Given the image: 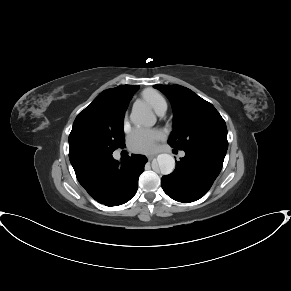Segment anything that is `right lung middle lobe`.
Returning a JSON list of instances; mask_svg holds the SVG:
<instances>
[{
    "label": "right lung middle lobe",
    "instance_id": "dd1d6c3e",
    "mask_svg": "<svg viewBox=\"0 0 291 291\" xmlns=\"http://www.w3.org/2000/svg\"><path fill=\"white\" fill-rule=\"evenodd\" d=\"M128 104L116 98L90 104L76 117L69 135L71 151L113 153L125 146L123 118Z\"/></svg>",
    "mask_w": 291,
    "mask_h": 291
}]
</instances>
